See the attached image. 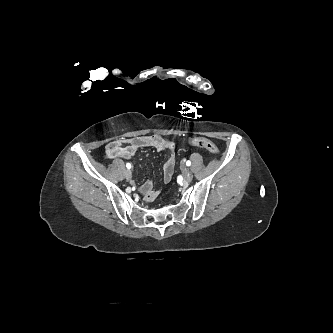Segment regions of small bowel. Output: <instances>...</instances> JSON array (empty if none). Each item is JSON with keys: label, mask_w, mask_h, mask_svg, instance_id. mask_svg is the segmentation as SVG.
I'll return each instance as SVG.
<instances>
[{"label": "small bowel", "mask_w": 333, "mask_h": 333, "mask_svg": "<svg viewBox=\"0 0 333 333\" xmlns=\"http://www.w3.org/2000/svg\"><path fill=\"white\" fill-rule=\"evenodd\" d=\"M151 147L157 151H167L169 155L163 166V181L168 183L174 173L176 157L173 152L175 143L159 134L139 136L128 140H115L110 142L106 147V158H131L141 148ZM146 201H153L158 192L154 189L153 182L147 180L141 187Z\"/></svg>", "instance_id": "c3829d8e"}]
</instances>
